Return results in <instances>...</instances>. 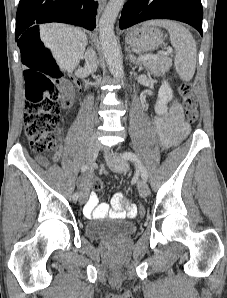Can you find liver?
<instances>
[{
  "label": "liver",
  "mask_w": 227,
  "mask_h": 298,
  "mask_svg": "<svg viewBox=\"0 0 227 298\" xmlns=\"http://www.w3.org/2000/svg\"><path fill=\"white\" fill-rule=\"evenodd\" d=\"M40 37L59 67L69 74L79 65L87 45V36L79 28L60 23L40 26Z\"/></svg>",
  "instance_id": "obj_1"
}]
</instances>
